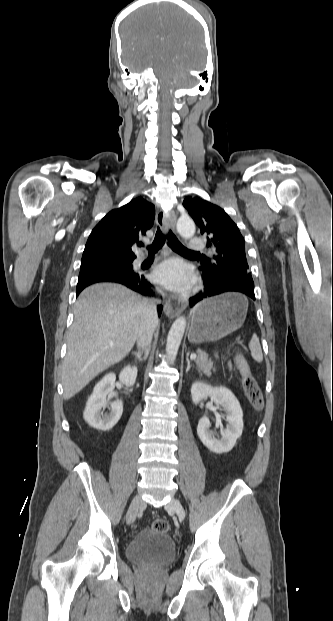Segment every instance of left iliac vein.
Instances as JSON below:
<instances>
[{
    "instance_id": "4c4485c4",
    "label": "left iliac vein",
    "mask_w": 333,
    "mask_h": 621,
    "mask_svg": "<svg viewBox=\"0 0 333 621\" xmlns=\"http://www.w3.org/2000/svg\"><path fill=\"white\" fill-rule=\"evenodd\" d=\"M165 508L167 510L175 512L180 520H183L185 518V510L177 499L172 498L170 502L166 504Z\"/></svg>"
}]
</instances>
